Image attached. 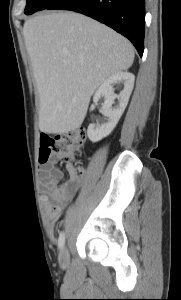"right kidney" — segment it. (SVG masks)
Masks as SVG:
<instances>
[{
    "instance_id": "obj_1",
    "label": "right kidney",
    "mask_w": 181,
    "mask_h": 300,
    "mask_svg": "<svg viewBox=\"0 0 181 300\" xmlns=\"http://www.w3.org/2000/svg\"><path fill=\"white\" fill-rule=\"evenodd\" d=\"M134 80L135 77L132 73L127 71L118 72L106 79L97 89L93 101L94 103H97L101 97H104L105 101L101 113L106 117L107 121L102 124H90L88 126L87 134L90 141H100L107 137L116 127L128 104L129 97L134 87ZM115 84L124 86L119 95L114 93L113 86ZM115 99H118L119 104L115 108H112Z\"/></svg>"
}]
</instances>
